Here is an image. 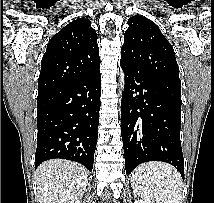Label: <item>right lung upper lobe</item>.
<instances>
[{"instance_id": "1", "label": "right lung upper lobe", "mask_w": 214, "mask_h": 203, "mask_svg": "<svg viewBox=\"0 0 214 203\" xmlns=\"http://www.w3.org/2000/svg\"><path fill=\"white\" fill-rule=\"evenodd\" d=\"M100 67L97 33L78 18L55 34L41 61L38 94L81 78Z\"/></svg>"}]
</instances>
